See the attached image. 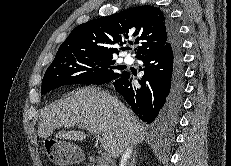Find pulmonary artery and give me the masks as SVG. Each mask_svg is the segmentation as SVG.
<instances>
[{"instance_id":"obj_1","label":"pulmonary artery","mask_w":231,"mask_h":166,"mask_svg":"<svg viewBox=\"0 0 231 166\" xmlns=\"http://www.w3.org/2000/svg\"><path fill=\"white\" fill-rule=\"evenodd\" d=\"M124 61L126 64H132V59L129 56L125 57Z\"/></svg>"}]
</instances>
